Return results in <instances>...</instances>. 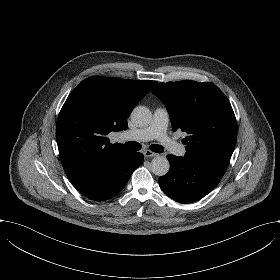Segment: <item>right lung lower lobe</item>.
I'll list each match as a JSON object with an SVG mask.
<instances>
[{"instance_id":"obj_1","label":"right lung lower lobe","mask_w":280,"mask_h":280,"mask_svg":"<svg viewBox=\"0 0 280 280\" xmlns=\"http://www.w3.org/2000/svg\"><path fill=\"white\" fill-rule=\"evenodd\" d=\"M144 160L142 153H131L123 162L109 169L95 185L92 193L84 195L95 201H105L116 196L127 184L133 171Z\"/></svg>"}]
</instances>
